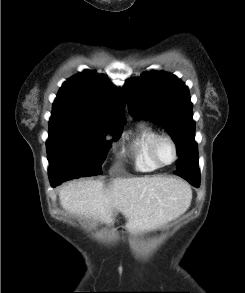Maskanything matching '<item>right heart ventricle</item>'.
Instances as JSON below:
<instances>
[{"instance_id": "1", "label": "right heart ventricle", "mask_w": 245, "mask_h": 293, "mask_svg": "<svg viewBox=\"0 0 245 293\" xmlns=\"http://www.w3.org/2000/svg\"><path fill=\"white\" fill-rule=\"evenodd\" d=\"M158 134L155 128L147 124H141L138 127L130 147L132 164L135 170L139 172H153L161 167L154 161L151 155V145Z\"/></svg>"}]
</instances>
